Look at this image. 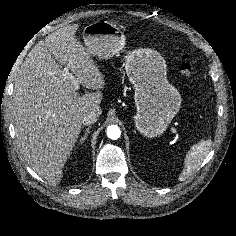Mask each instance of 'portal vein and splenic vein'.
<instances>
[{"instance_id":"18ae733b","label":"portal vein and splenic vein","mask_w":236,"mask_h":236,"mask_svg":"<svg viewBox=\"0 0 236 236\" xmlns=\"http://www.w3.org/2000/svg\"><path fill=\"white\" fill-rule=\"evenodd\" d=\"M64 72H65V73H64V76H66L69 80H71V82H72L73 86L75 87V89H78V88H79V83H78V81L75 79V77H74L71 73H69L67 70H65ZM172 132H173L175 135L178 134V132H177L176 129H173Z\"/></svg>"}]
</instances>
